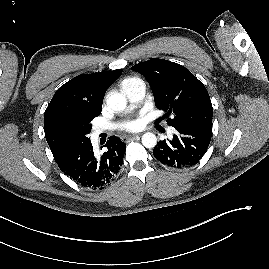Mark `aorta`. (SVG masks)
<instances>
[{
    "label": "aorta",
    "mask_w": 269,
    "mask_h": 269,
    "mask_svg": "<svg viewBox=\"0 0 269 269\" xmlns=\"http://www.w3.org/2000/svg\"><path fill=\"white\" fill-rule=\"evenodd\" d=\"M126 104H127L126 98L120 93H113V94L109 95L107 98V105L115 111L124 110L126 107ZM142 144L146 148L155 147L157 144L156 135L151 133V132H147V133L143 134Z\"/></svg>",
    "instance_id": "762f6f07"
}]
</instances>
